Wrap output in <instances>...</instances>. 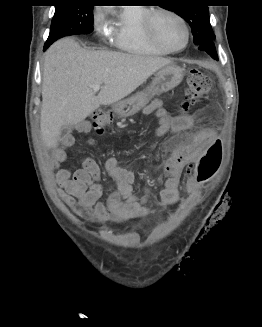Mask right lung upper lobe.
I'll return each instance as SVG.
<instances>
[{
	"mask_svg": "<svg viewBox=\"0 0 262 327\" xmlns=\"http://www.w3.org/2000/svg\"><path fill=\"white\" fill-rule=\"evenodd\" d=\"M58 2H62V1H72V0H57Z\"/></svg>",
	"mask_w": 262,
	"mask_h": 327,
	"instance_id": "obj_1",
	"label": "right lung upper lobe"
}]
</instances>
